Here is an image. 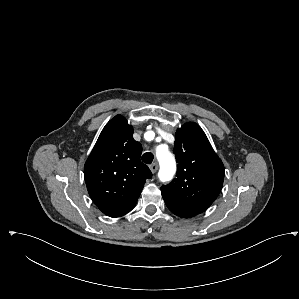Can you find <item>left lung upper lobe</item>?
<instances>
[{
  "mask_svg": "<svg viewBox=\"0 0 299 299\" xmlns=\"http://www.w3.org/2000/svg\"><path fill=\"white\" fill-rule=\"evenodd\" d=\"M174 153L177 178L162 185L164 199L194 215L207 210L219 195L224 166L196 123L183 125L176 132Z\"/></svg>",
  "mask_w": 299,
  "mask_h": 299,
  "instance_id": "5c2ea615",
  "label": "left lung upper lobe"
}]
</instances>
